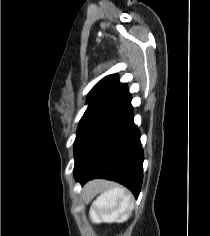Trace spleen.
I'll use <instances>...</instances> for the list:
<instances>
[{
	"label": "spleen",
	"mask_w": 210,
	"mask_h": 236,
	"mask_svg": "<svg viewBox=\"0 0 210 236\" xmlns=\"http://www.w3.org/2000/svg\"><path fill=\"white\" fill-rule=\"evenodd\" d=\"M94 184L88 189L92 190ZM134 208L133 195L124 187H113L101 193L90 207V218L94 223H122Z\"/></svg>",
	"instance_id": "1"
}]
</instances>
